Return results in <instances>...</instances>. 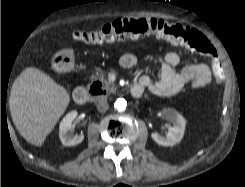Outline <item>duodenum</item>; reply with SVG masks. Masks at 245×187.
I'll return each instance as SVG.
<instances>
[{
  "label": "duodenum",
  "instance_id": "1",
  "mask_svg": "<svg viewBox=\"0 0 245 187\" xmlns=\"http://www.w3.org/2000/svg\"><path fill=\"white\" fill-rule=\"evenodd\" d=\"M130 92L135 97L141 95V89L138 85H132L130 88ZM101 95H102V91L99 86L94 88L77 87L73 93V98L77 104L82 105L88 102L91 96H101Z\"/></svg>",
  "mask_w": 245,
  "mask_h": 187
}]
</instances>
